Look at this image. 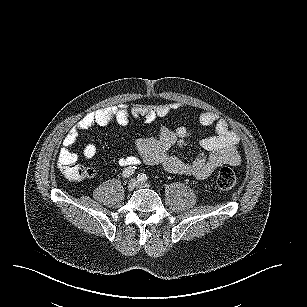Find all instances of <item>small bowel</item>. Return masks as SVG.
<instances>
[{
    "label": "small bowel",
    "mask_w": 307,
    "mask_h": 307,
    "mask_svg": "<svg viewBox=\"0 0 307 307\" xmlns=\"http://www.w3.org/2000/svg\"><path fill=\"white\" fill-rule=\"evenodd\" d=\"M180 107L182 104L178 102L158 105L138 104L132 107L123 104L91 112L82 117L64 137L58 162L60 165H66L77 160V155L72 151V148L81 132L95 126H107L112 122L126 125L132 119L139 118L146 122H152L157 118L167 116L171 111ZM199 123L202 126H214L215 133L200 141L203 152L191 161H184L169 153V150L175 145L186 146L190 131L186 127L180 126L174 130L161 127L156 136L140 139L137 142V153L120 157L118 164L126 168L135 167L142 162L161 165L169 172L189 175L198 179L207 178L224 164L238 166L241 163V156L238 152L240 139L229 124L213 112L200 114ZM96 152V147L93 144L86 145L83 150L86 158H93Z\"/></svg>",
    "instance_id": "c3829d8e"
}]
</instances>
